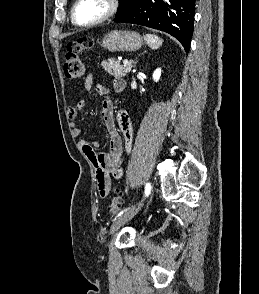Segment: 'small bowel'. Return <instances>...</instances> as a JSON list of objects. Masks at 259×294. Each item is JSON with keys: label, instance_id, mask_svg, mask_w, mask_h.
Returning a JSON list of instances; mask_svg holds the SVG:
<instances>
[{"label": "small bowel", "instance_id": "small-bowel-1", "mask_svg": "<svg viewBox=\"0 0 259 294\" xmlns=\"http://www.w3.org/2000/svg\"><path fill=\"white\" fill-rule=\"evenodd\" d=\"M84 85L87 90L93 88L94 80L92 75L86 78ZM124 88L125 81L121 78H115L113 81L114 91L119 93ZM96 90L102 98L100 114L109 132V151L96 152L95 148L99 146V143L91 144L86 140H80L79 144L94 167L98 189L101 196L104 197L110 189L111 178L120 179L123 176L122 155L123 153H129L132 149L133 127L128 114L123 110H118L116 123L109 88L105 85H98ZM84 104V100H80L76 105L68 108L73 137H79L82 133V128L76 126L75 121Z\"/></svg>", "mask_w": 259, "mask_h": 294}]
</instances>
